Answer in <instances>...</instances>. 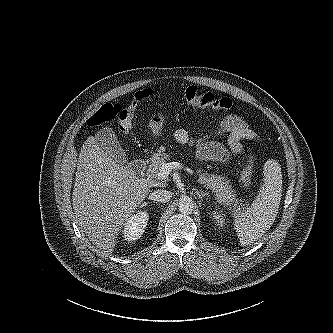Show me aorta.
I'll use <instances>...</instances> for the list:
<instances>
[{"label":"aorta","instance_id":"1","mask_svg":"<svg viewBox=\"0 0 333 333\" xmlns=\"http://www.w3.org/2000/svg\"><path fill=\"white\" fill-rule=\"evenodd\" d=\"M179 211L182 214H191L194 209V202L189 196H182L179 199Z\"/></svg>","mask_w":333,"mask_h":333}]
</instances>
